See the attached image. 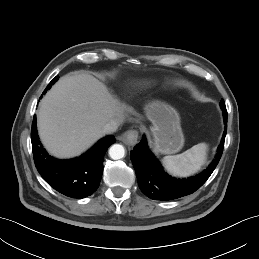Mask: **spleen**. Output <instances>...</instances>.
Returning <instances> with one entry per match:
<instances>
[{"label": "spleen", "mask_w": 259, "mask_h": 259, "mask_svg": "<svg viewBox=\"0 0 259 259\" xmlns=\"http://www.w3.org/2000/svg\"><path fill=\"white\" fill-rule=\"evenodd\" d=\"M207 151L208 145L199 143L181 154L165 156L162 162L168 172L186 177L200 170L205 164Z\"/></svg>", "instance_id": "1"}]
</instances>
